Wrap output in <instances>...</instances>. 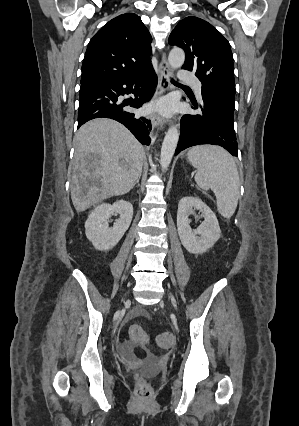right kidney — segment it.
I'll list each match as a JSON object with an SVG mask.
<instances>
[{"label": "right kidney", "instance_id": "1", "mask_svg": "<svg viewBox=\"0 0 299 426\" xmlns=\"http://www.w3.org/2000/svg\"><path fill=\"white\" fill-rule=\"evenodd\" d=\"M114 213L119 215L112 228H109L108 219ZM133 217V206L125 200H117L113 204L98 205L85 222L87 239L96 250L108 251L112 249L124 233L128 230Z\"/></svg>", "mask_w": 299, "mask_h": 426}]
</instances>
